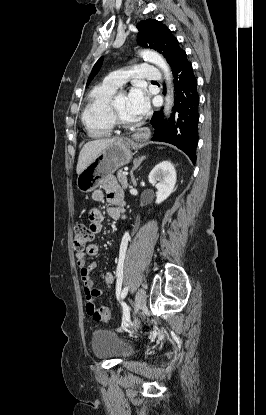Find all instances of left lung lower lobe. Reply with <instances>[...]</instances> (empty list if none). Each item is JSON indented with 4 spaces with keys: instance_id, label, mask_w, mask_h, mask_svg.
<instances>
[{
    "instance_id": "1",
    "label": "left lung lower lobe",
    "mask_w": 266,
    "mask_h": 415,
    "mask_svg": "<svg viewBox=\"0 0 266 415\" xmlns=\"http://www.w3.org/2000/svg\"><path fill=\"white\" fill-rule=\"evenodd\" d=\"M175 101L169 121L163 123V114L156 111L151 119L155 128L153 141L167 142L184 151L191 161L196 162L198 141L199 95L197 80L191 63L183 53L174 68Z\"/></svg>"
}]
</instances>
